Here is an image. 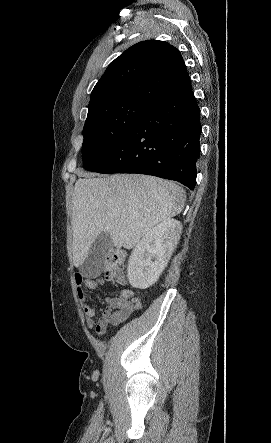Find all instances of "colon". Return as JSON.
<instances>
[{
    "label": "colon",
    "instance_id": "5ec220e1",
    "mask_svg": "<svg viewBox=\"0 0 271 443\" xmlns=\"http://www.w3.org/2000/svg\"><path fill=\"white\" fill-rule=\"evenodd\" d=\"M125 263V253L121 250H111L106 256L104 272L108 279L123 281V266Z\"/></svg>",
    "mask_w": 271,
    "mask_h": 443
}]
</instances>
